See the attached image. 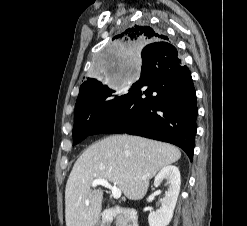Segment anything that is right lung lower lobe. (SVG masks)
Segmentation results:
<instances>
[{
    "instance_id": "obj_1",
    "label": "right lung lower lobe",
    "mask_w": 247,
    "mask_h": 226,
    "mask_svg": "<svg viewBox=\"0 0 247 226\" xmlns=\"http://www.w3.org/2000/svg\"><path fill=\"white\" fill-rule=\"evenodd\" d=\"M141 55V78L93 134L128 133L169 142L192 161L198 110L191 73L168 42L148 44Z\"/></svg>"
}]
</instances>
